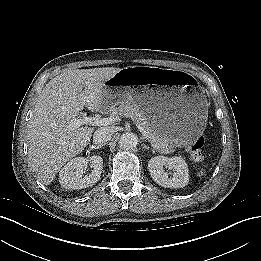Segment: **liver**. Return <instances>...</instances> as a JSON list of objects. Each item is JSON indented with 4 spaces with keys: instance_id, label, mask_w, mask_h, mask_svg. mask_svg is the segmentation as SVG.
Returning <instances> with one entry per match:
<instances>
[{
    "instance_id": "1",
    "label": "liver",
    "mask_w": 261,
    "mask_h": 261,
    "mask_svg": "<svg viewBox=\"0 0 261 261\" xmlns=\"http://www.w3.org/2000/svg\"><path fill=\"white\" fill-rule=\"evenodd\" d=\"M121 69L103 67L67 70L50 80L38 96L28 124V156L44 185L55 179L62 166L89 144L94 128L70 129L84 107L99 111L106 82Z\"/></svg>"
}]
</instances>
